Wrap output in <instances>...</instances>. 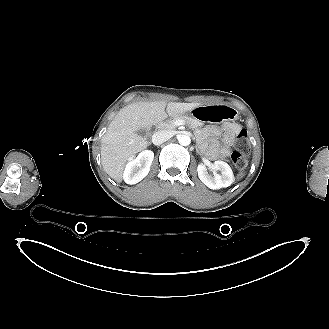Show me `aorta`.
I'll return each instance as SVG.
<instances>
[{
	"instance_id": "aorta-1",
	"label": "aorta",
	"mask_w": 329,
	"mask_h": 329,
	"mask_svg": "<svg viewBox=\"0 0 329 329\" xmlns=\"http://www.w3.org/2000/svg\"><path fill=\"white\" fill-rule=\"evenodd\" d=\"M178 141L182 146H188L191 143V138L188 135H180Z\"/></svg>"
}]
</instances>
